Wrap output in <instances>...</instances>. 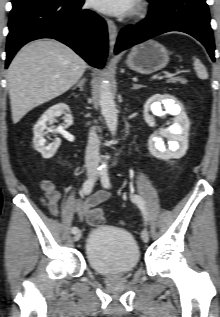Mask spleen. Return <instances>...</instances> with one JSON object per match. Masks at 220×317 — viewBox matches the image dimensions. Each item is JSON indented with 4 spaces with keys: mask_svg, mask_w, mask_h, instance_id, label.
I'll return each mask as SVG.
<instances>
[{
    "mask_svg": "<svg viewBox=\"0 0 220 317\" xmlns=\"http://www.w3.org/2000/svg\"><path fill=\"white\" fill-rule=\"evenodd\" d=\"M194 60V69L195 71L197 72V76L200 78V79H207L208 78V73L206 71V68L205 66L201 63V61L197 58H193Z\"/></svg>",
    "mask_w": 220,
    "mask_h": 317,
    "instance_id": "obj_1",
    "label": "spleen"
}]
</instances>
